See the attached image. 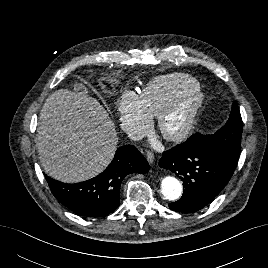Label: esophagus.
Listing matches in <instances>:
<instances>
[{
	"mask_svg": "<svg viewBox=\"0 0 268 268\" xmlns=\"http://www.w3.org/2000/svg\"><path fill=\"white\" fill-rule=\"evenodd\" d=\"M146 159H147L149 164H152L154 159H155L154 154L151 151H147L146 152Z\"/></svg>",
	"mask_w": 268,
	"mask_h": 268,
	"instance_id": "1",
	"label": "esophagus"
}]
</instances>
